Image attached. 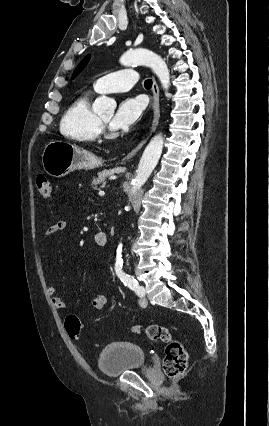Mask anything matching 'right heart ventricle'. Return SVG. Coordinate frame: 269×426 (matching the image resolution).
<instances>
[{"label":"right heart ventricle","mask_w":269,"mask_h":426,"mask_svg":"<svg viewBox=\"0 0 269 426\" xmlns=\"http://www.w3.org/2000/svg\"><path fill=\"white\" fill-rule=\"evenodd\" d=\"M61 132L72 139L91 142L97 139L101 132L98 116L91 108V94L79 96L64 113Z\"/></svg>","instance_id":"e07e8e85"}]
</instances>
